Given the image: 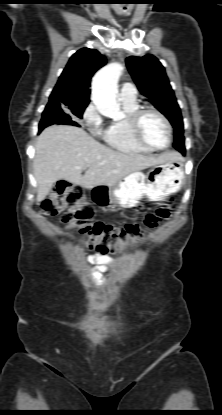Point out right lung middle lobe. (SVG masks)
Here are the masks:
<instances>
[{"mask_svg":"<svg viewBox=\"0 0 222 415\" xmlns=\"http://www.w3.org/2000/svg\"><path fill=\"white\" fill-rule=\"evenodd\" d=\"M88 104L86 103H60V104H48L45 108V110H48V112L52 111H58L63 112L67 111L71 115L77 116L79 118H82L83 112ZM64 113V112H63ZM66 114V113H64ZM67 115V114H66ZM68 119L71 120V117L69 115Z\"/></svg>","mask_w":222,"mask_h":415,"instance_id":"obj_1","label":"right lung middle lobe"}]
</instances>
